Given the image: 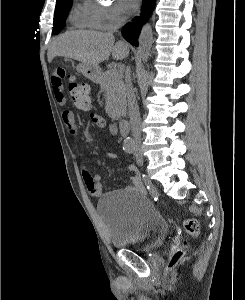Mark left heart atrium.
<instances>
[{"mask_svg": "<svg viewBox=\"0 0 245 300\" xmlns=\"http://www.w3.org/2000/svg\"><path fill=\"white\" fill-rule=\"evenodd\" d=\"M124 10H131L136 7L139 0H120Z\"/></svg>", "mask_w": 245, "mask_h": 300, "instance_id": "obj_1", "label": "left heart atrium"}]
</instances>
